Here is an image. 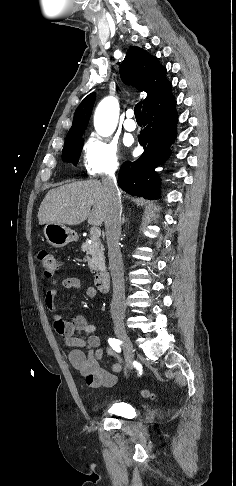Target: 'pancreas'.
I'll return each mask as SVG.
<instances>
[{
  "instance_id": "obj_1",
  "label": "pancreas",
  "mask_w": 236,
  "mask_h": 486,
  "mask_svg": "<svg viewBox=\"0 0 236 486\" xmlns=\"http://www.w3.org/2000/svg\"><path fill=\"white\" fill-rule=\"evenodd\" d=\"M81 248L82 251L86 252L90 271L93 273L104 272L106 269L104 246L100 239L91 237V243L86 241Z\"/></svg>"
}]
</instances>
